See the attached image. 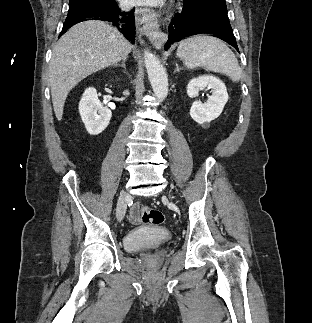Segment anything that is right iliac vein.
Here are the masks:
<instances>
[{"label":"right iliac vein","instance_id":"1","mask_svg":"<svg viewBox=\"0 0 312 323\" xmlns=\"http://www.w3.org/2000/svg\"><path fill=\"white\" fill-rule=\"evenodd\" d=\"M129 197L130 195L126 191L120 193L117 202V217L119 221H122L125 216L127 209V200Z\"/></svg>","mask_w":312,"mask_h":323}]
</instances>
